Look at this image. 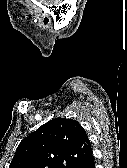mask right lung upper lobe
<instances>
[{"instance_id":"cb5924a9","label":"right lung upper lobe","mask_w":127,"mask_h":168,"mask_svg":"<svg viewBox=\"0 0 127 168\" xmlns=\"http://www.w3.org/2000/svg\"><path fill=\"white\" fill-rule=\"evenodd\" d=\"M91 157L82 126L73 119L55 118L21 141L9 168H74Z\"/></svg>"}]
</instances>
